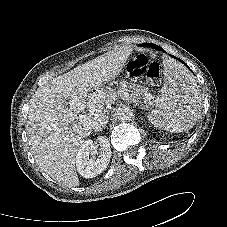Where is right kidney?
Returning <instances> with one entry per match:
<instances>
[{"label": "right kidney", "instance_id": "right-kidney-1", "mask_svg": "<svg viewBox=\"0 0 227 227\" xmlns=\"http://www.w3.org/2000/svg\"><path fill=\"white\" fill-rule=\"evenodd\" d=\"M97 142L94 143L92 140L85 141L76 155L77 171L85 178L96 177L109 164L112 153L108 139L104 136H99ZM97 146H100V152L96 158L94 155Z\"/></svg>", "mask_w": 227, "mask_h": 227}]
</instances>
